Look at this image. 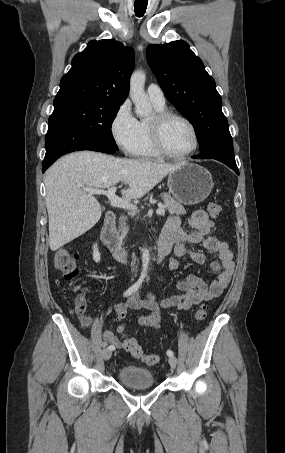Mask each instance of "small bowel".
<instances>
[{
  "instance_id": "c3829d8e",
  "label": "small bowel",
  "mask_w": 285,
  "mask_h": 453,
  "mask_svg": "<svg viewBox=\"0 0 285 453\" xmlns=\"http://www.w3.org/2000/svg\"><path fill=\"white\" fill-rule=\"evenodd\" d=\"M189 225L194 229L193 232L184 231L180 218L170 216L163 228L161 237L167 239L171 245L175 244L174 257L169 262V268L176 270L181 261L186 258L197 264L205 263L206 255L203 252L188 249V245L200 243L216 257L210 263L211 269L217 274L216 278L211 283H208L197 276L188 275L178 280L176 284L180 294L158 301L152 294H149L147 299L141 300L136 293L127 299L126 302L112 305L107 309L106 313H113V326L102 332L104 343L109 344L114 349L122 347V342L117 334L126 333V327L121 321L126 317L130 309L150 310L151 313L149 315H137V324L140 327L158 328L162 320L161 311L163 309L188 310L204 301L220 296L227 288L234 270L233 253L228 244L211 235L215 229V223L209 219L203 210H197L192 214L189 219ZM156 279L162 281L161 276H156ZM78 288L79 285L75 286L74 290ZM85 309V299L83 297L77 298L74 312L83 327H90L94 324V321L91 317L84 314Z\"/></svg>"
}]
</instances>
